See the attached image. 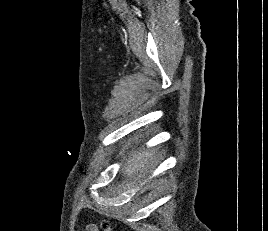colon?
<instances>
[{"label": "colon", "mask_w": 268, "mask_h": 231, "mask_svg": "<svg viewBox=\"0 0 268 231\" xmlns=\"http://www.w3.org/2000/svg\"><path fill=\"white\" fill-rule=\"evenodd\" d=\"M101 231H111V227L107 221H103L100 225Z\"/></svg>", "instance_id": "5ec220e1"}]
</instances>
